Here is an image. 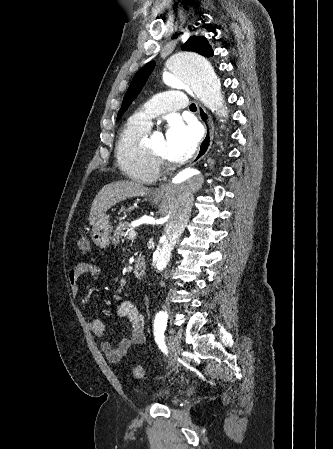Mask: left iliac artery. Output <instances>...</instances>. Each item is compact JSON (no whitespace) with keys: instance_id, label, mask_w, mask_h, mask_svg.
Masks as SVG:
<instances>
[{"instance_id":"1","label":"left iliac artery","mask_w":333,"mask_h":449,"mask_svg":"<svg viewBox=\"0 0 333 449\" xmlns=\"http://www.w3.org/2000/svg\"><path fill=\"white\" fill-rule=\"evenodd\" d=\"M168 315L164 311H160L156 314L154 320V336L155 341L158 344L159 348L165 354L168 353L166 345L164 343V331L166 329Z\"/></svg>"}]
</instances>
